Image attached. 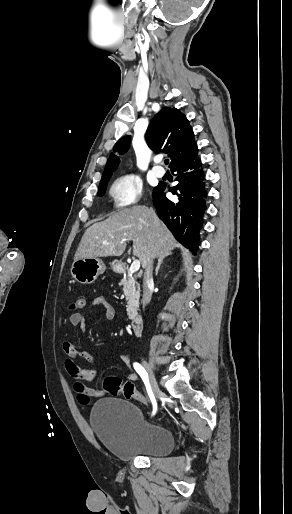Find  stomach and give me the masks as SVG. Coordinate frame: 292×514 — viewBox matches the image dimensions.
Wrapping results in <instances>:
<instances>
[{
	"label": "stomach",
	"instance_id": "stomach-1",
	"mask_svg": "<svg viewBox=\"0 0 292 514\" xmlns=\"http://www.w3.org/2000/svg\"><path fill=\"white\" fill-rule=\"evenodd\" d=\"M105 270V264L99 258H79L72 264L71 276L79 284H93ZM113 270L117 272V266H113Z\"/></svg>",
	"mask_w": 292,
	"mask_h": 514
}]
</instances>
